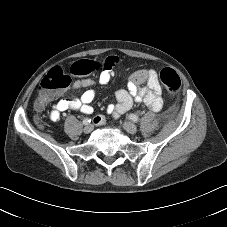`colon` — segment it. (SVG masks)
Here are the masks:
<instances>
[{
  "label": "colon",
  "instance_id": "obj_1",
  "mask_svg": "<svg viewBox=\"0 0 227 227\" xmlns=\"http://www.w3.org/2000/svg\"><path fill=\"white\" fill-rule=\"evenodd\" d=\"M98 68V63L89 59H80L73 62L69 71L78 76H88ZM162 85L170 95L177 94L181 89V80L176 71L171 68H164L159 73ZM71 84V77L61 67H53L41 80L34 102L36 110L56 98L59 93L68 88Z\"/></svg>",
  "mask_w": 227,
  "mask_h": 227
}]
</instances>
